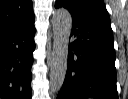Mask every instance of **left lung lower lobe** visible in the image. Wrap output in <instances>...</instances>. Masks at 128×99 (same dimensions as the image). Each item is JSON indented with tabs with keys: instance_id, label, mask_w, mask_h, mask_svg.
Instances as JSON below:
<instances>
[{
	"instance_id": "0a47b994",
	"label": "left lung lower lobe",
	"mask_w": 128,
	"mask_h": 99,
	"mask_svg": "<svg viewBox=\"0 0 128 99\" xmlns=\"http://www.w3.org/2000/svg\"><path fill=\"white\" fill-rule=\"evenodd\" d=\"M55 7H63L55 4ZM68 67L57 99H118L113 32L108 22L72 16Z\"/></svg>"
}]
</instances>
